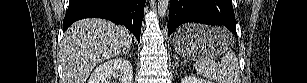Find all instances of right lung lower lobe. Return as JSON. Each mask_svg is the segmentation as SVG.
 I'll return each mask as SVG.
<instances>
[{
  "label": "right lung lower lobe",
  "mask_w": 307,
  "mask_h": 83,
  "mask_svg": "<svg viewBox=\"0 0 307 83\" xmlns=\"http://www.w3.org/2000/svg\"><path fill=\"white\" fill-rule=\"evenodd\" d=\"M145 0H70L63 30L84 18H103L123 24L140 41Z\"/></svg>",
  "instance_id": "right-lung-lower-lobe-1"
}]
</instances>
